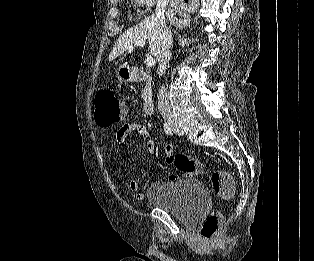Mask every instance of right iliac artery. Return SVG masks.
I'll return each mask as SVG.
<instances>
[{
    "label": "right iliac artery",
    "instance_id": "82829eb1",
    "mask_svg": "<svg viewBox=\"0 0 314 261\" xmlns=\"http://www.w3.org/2000/svg\"><path fill=\"white\" fill-rule=\"evenodd\" d=\"M164 130L167 134L172 135V131H171L169 123L167 122L164 123Z\"/></svg>",
    "mask_w": 314,
    "mask_h": 261
}]
</instances>
